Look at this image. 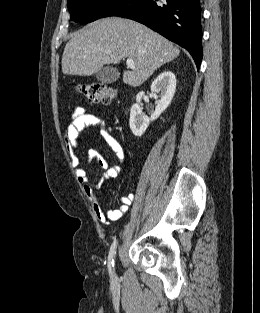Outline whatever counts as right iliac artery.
Here are the masks:
<instances>
[{
  "instance_id": "1",
  "label": "right iliac artery",
  "mask_w": 260,
  "mask_h": 313,
  "mask_svg": "<svg viewBox=\"0 0 260 313\" xmlns=\"http://www.w3.org/2000/svg\"><path fill=\"white\" fill-rule=\"evenodd\" d=\"M116 245H117V241L114 240L111 247H110V251H109V255H108V270H109V274L111 276L113 275L114 255L116 252Z\"/></svg>"
}]
</instances>
